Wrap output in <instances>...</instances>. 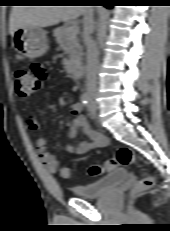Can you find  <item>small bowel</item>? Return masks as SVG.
Masks as SVG:
<instances>
[{"mask_svg": "<svg viewBox=\"0 0 170 231\" xmlns=\"http://www.w3.org/2000/svg\"><path fill=\"white\" fill-rule=\"evenodd\" d=\"M30 73L37 80L38 84L47 78L45 66L42 62L35 61L30 65ZM81 105L75 103L70 106L69 112L72 116V123L69 131L70 142L66 146V150L77 155H83L93 148H101L107 144L106 138L95 130L91 129L87 124L85 117L81 114ZM27 126L32 130L39 128V121L33 114L26 116ZM82 133L87 140L74 145L73 141L78 133ZM36 150L39 160L51 172L57 170L59 161L56 156L47 150L46 139L39 137L36 140Z\"/></svg>", "mask_w": 170, "mask_h": 231, "instance_id": "obj_1", "label": "small bowel"}]
</instances>
